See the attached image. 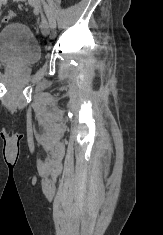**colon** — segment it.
<instances>
[{
	"instance_id": "1",
	"label": "colon",
	"mask_w": 163,
	"mask_h": 235,
	"mask_svg": "<svg viewBox=\"0 0 163 235\" xmlns=\"http://www.w3.org/2000/svg\"><path fill=\"white\" fill-rule=\"evenodd\" d=\"M15 17V13L13 11H9L5 16L3 17L4 22H8L12 20Z\"/></svg>"
}]
</instances>
